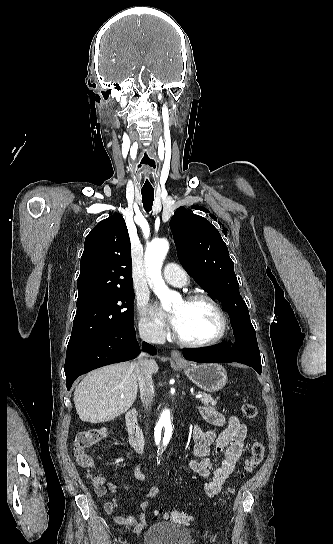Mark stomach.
Wrapping results in <instances>:
<instances>
[{
	"mask_svg": "<svg viewBox=\"0 0 333 544\" xmlns=\"http://www.w3.org/2000/svg\"><path fill=\"white\" fill-rule=\"evenodd\" d=\"M187 377L198 387L207 392H217L227 383V373L223 366L217 363L184 365L178 364Z\"/></svg>",
	"mask_w": 333,
	"mask_h": 544,
	"instance_id": "stomach-1",
	"label": "stomach"
}]
</instances>
